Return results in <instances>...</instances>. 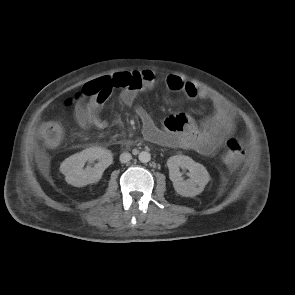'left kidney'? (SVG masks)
<instances>
[{
    "label": "left kidney",
    "instance_id": "5707ae66",
    "mask_svg": "<svg viewBox=\"0 0 295 295\" xmlns=\"http://www.w3.org/2000/svg\"><path fill=\"white\" fill-rule=\"evenodd\" d=\"M169 178L175 191L184 197H194L200 194L210 180L206 168L188 156L175 155L168 159ZM179 167L190 172V178L184 180Z\"/></svg>",
    "mask_w": 295,
    "mask_h": 295
}]
</instances>
